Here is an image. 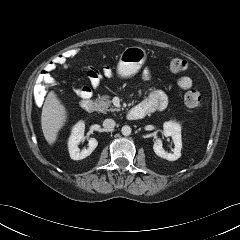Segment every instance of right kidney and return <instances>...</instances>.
Instances as JSON below:
<instances>
[{
  "label": "right kidney",
  "instance_id": "1",
  "mask_svg": "<svg viewBox=\"0 0 240 240\" xmlns=\"http://www.w3.org/2000/svg\"><path fill=\"white\" fill-rule=\"evenodd\" d=\"M84 129L85 123L83 121H79L74 125L72 129V133L69 137L68 141V149L70 153V157L73 160H81L89 156L97 147L98 141L95 138H90L88 140V148L80 150L78 145L84 141Z\"/></svg>",
  "mask_w": 240,
  "mask_h": 240
}]
</instances>
